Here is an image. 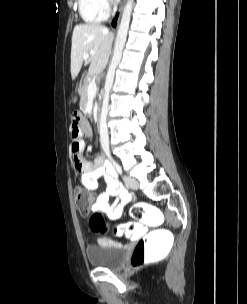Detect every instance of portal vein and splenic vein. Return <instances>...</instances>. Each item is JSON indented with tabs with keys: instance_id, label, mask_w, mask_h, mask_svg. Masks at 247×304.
<instances>
[{
	"instance_id": "portal-vein-and-splenic-vein-1",
	"label": "portal vein and splenic vein",
	"mask_w": 247,
	"mask_h": 304,
	"mask_svg": "<svg viewBox=\"0 0 247 304\" xmlns=\"http://www.w3.org/2000/svg\"><path fill=\"white\" fill-rule=\"evenodd\" d=\"M90 53H84L83 59L87 60L89 58ZM88 96H95L97 92V86L94 80H92L88 85Z\"/></svg>"
}]
</instances>
